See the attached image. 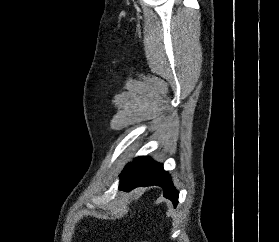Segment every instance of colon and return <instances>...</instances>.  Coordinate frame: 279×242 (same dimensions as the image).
<instances>
[{
	"mask_svg": "<svg viewBox=\"0 0 279 242\" xmlns=\"http://www.w3.org/2000/svg\"><path fill=\"white\" fill-rule=\"evenodd\" d=\"M136 242H147V241H136Z\"/></svg>",
	"mask_w": 279,
	"mask_h": 242,
	"instance_id": "1",
	"label": "colon"
}]
</instances>
